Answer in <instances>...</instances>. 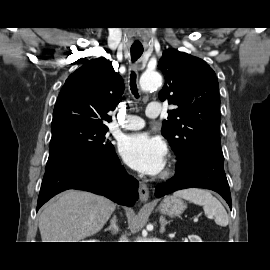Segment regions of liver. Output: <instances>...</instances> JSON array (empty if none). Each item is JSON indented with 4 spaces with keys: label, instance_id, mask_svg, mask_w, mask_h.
Wrapping results in <instances>:
<instances>
[{
    "label": "liver",
    "instance_id": "obj_1",
    "mask_svg": "<svg viewBox=\"0 0 270 270\" xmlns=\"http://www.w3.org/2000/svg\"><path fill=\"white\" fill-rule=\"evenodd\" d=\"M111 200L69 190L47 203L39 218L42 242H78L99 232L114 212Z\"/></svg>",
    "mask_w": 270,
    "mask_h": 270
}]
</instances>
